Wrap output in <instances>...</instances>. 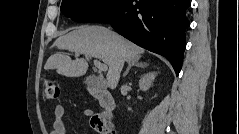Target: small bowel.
<instances>
[{"instance_id": "obj_1", "label": "small bowel", "mask_w": 239, "mask_h": 134, "mask_svg": "<svg viewBox=\"0 0 239 134\" xmlns=\"http://www.w3.org/2000/svg\"><path fill=\"white\" fill-rule=\"evenodd\" d=\"M65 113V109L63 105L58 104L54 108V122H53V128L51 130V134H66V127L63 121V116ZM83 115L85 117H91L93 115V110L90 108H86L83 110Z\"/></svg>"}]
</instances>
